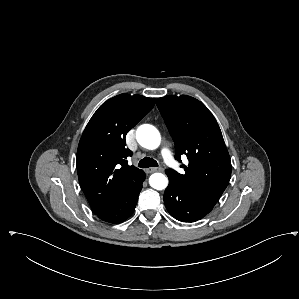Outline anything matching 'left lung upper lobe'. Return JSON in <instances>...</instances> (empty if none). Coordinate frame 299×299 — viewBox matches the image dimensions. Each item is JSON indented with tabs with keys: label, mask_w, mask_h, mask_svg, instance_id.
<instances>
[{
	"label": "left lung upper lobe",
	"mask_w": 299,
	"mask_h": 299,
	"mask_svg": "<svg viewBox=\"0 0 299 299\" xmlns=\"http://www.w3.org/2000/svg\"><path fill=\"white\" fill-rule=\"evenodd\" d=\"M158 109L174 140L176 160L186 155L185 174L166 169L168 178L215 205L231 177V161L219 125L197 99L165 96L157 99Z\"/></svg>",
	"instance_id": "1"
}]
</instances>
